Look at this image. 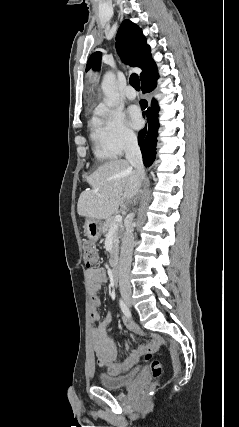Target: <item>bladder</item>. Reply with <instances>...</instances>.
<instances>
[{"mask_svg": "<svg viewBox=\"0 0 239 427\" xmlns=\"http://www.w3.org/2000/svg\"><path fill=\"white\" fill-rule=\"evenodd\" d=\"M140 369H132L125 375H110L102 373L99 375V383L107 389H120L131 384L138 376Z\"/></svg>", "mask_w": 239, "mask_h": 427, "instance_id": "31cf9c89", "label": "bladder"}]
</instances>
